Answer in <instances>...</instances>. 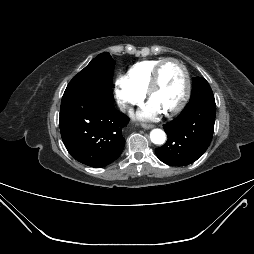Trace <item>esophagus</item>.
Instances as JSON below:
<instances>
[{"label": "esophagus", "mask_w": 254, "mask_h": 254, "mask_svg": "<svg viewBox=\"0 0 254 254\" xmlns=\"http://www.w3.org/2000/svg\"><path fill=\"white\" fill-rule=\"evenodd\" d=\"M142 128L144 129H151L154 127V125L151 124H146V123H141Z\"/></svg>", "instance_id": "esophagus-1"}]
</instances>
